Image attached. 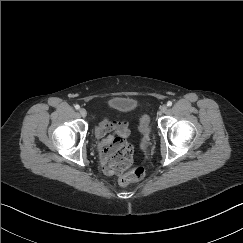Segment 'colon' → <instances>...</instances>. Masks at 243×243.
I'll use <instances>...</instances> for the list:
<instances>
[{"instance_id":"obj_1","label":"colon","mask_w":243,"mask_h":243,"mask_svg":"<svg viewBox=\"0 0 243 243\" xmlns=\"http://www.w3.org/2000/svg\"><path fill=\"white\" fill-rule=\"evenodd\" d=\"M149 118L144 116L139 124V130L147 139L149 135ZM129 167V166H128ZM127 167V168H128ZM145 176V171L142 167L129 168L125 175L119 178L118 183L122 186L127 185L131 182L143 179Z\"/></svg>"}]
</instances>
